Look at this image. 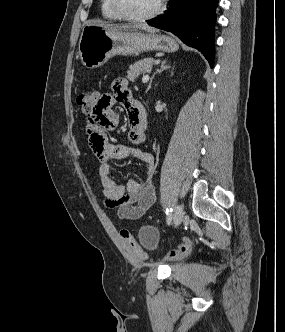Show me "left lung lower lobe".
Returning <instances> with one entry per match:
<instances>
[{"label": "left lung lower lobe", "mask_w": 285, "mask_h": 332, "mask_svg": "<svg viewBox=\"0 0 285 332\" xmlns=\"http://www.w3.org/2000/svg\"><path fill=\"white\" fill-rule=\"evenodd\" d=\"M218 0H171L163 15L147 20L153 27L172 32L214 63V24Z\"/></svg>", "instance_id": "1"}]
</instances>
